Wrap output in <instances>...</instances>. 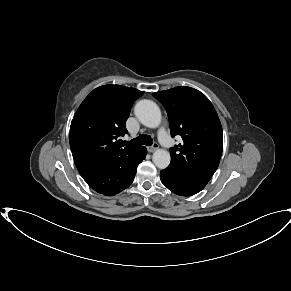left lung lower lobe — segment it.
Here are the masks:
<instances>
[{"label": "left lung lower lobe", "mask_w": 291, "mask_h": 291, "mask_svg": "<svg viewBox=\"0 0 291 291\" xmlns=\"http://www.w3.org/2000/svg\"><path fill=\"white\" fill-rule=\"evenodd\" d=\"M160 178L170 191L180 196L194 195L208 183L193 178L170 165L160 172Z\"/></svg>", "instance_id": "1"}]
</instances>
